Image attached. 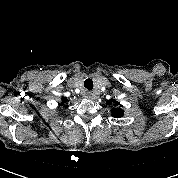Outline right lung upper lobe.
Listing matches in <instances>:
<instances>
[{
    "mask_svg": "<svg viewBox=\"0 0 178 178\" xmlns=\"http://www.w3.org/2000/svg\"><path fill=\"white\" fill-rule=\"evenodd\" d=\"M65 102H67V98L66 97H62V104H64Z\"/></svg>",
    "mask_w": 178,
    "mask_h": 178,
    "instance_id": "right-lung-upper-lobe-1",
    "label": "right lung upper lobe"
}]
</instances>
